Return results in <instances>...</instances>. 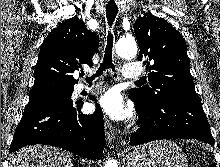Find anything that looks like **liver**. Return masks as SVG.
<instances>
[{"mask_svg": "<svg viewBox=\"0 0 220 167\" xmlns=\"http://www.w3.org/2000/svg\"><path fill=\"white\" fill-rule=\"evenodd\" d=\"M69 153L51 146H27L9 157V167H72Z\"/></svg>", "mask_w": 220, "mask_h": 167, "instance_id": "1", "label": "liver"}]
</instances>
